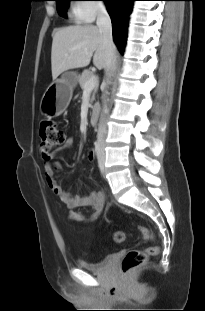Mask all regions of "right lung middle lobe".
<instances>
[{
	"label": "right lung middle lobe",
	"mask_w": 205,
	"mask_h": 311,
	"mask_svg": "<svg viewBox=\"0 0 205 311\" xmlns=\"http://www.w3.org/2000/svg\"><path fill=\"white\" fill-rule=\"evenodd\" d=\"M59 15L66 17V10L71 0H55Z\"/></svg>",
	"instance_id": "dd1d6c3e"
}]
</instances>
